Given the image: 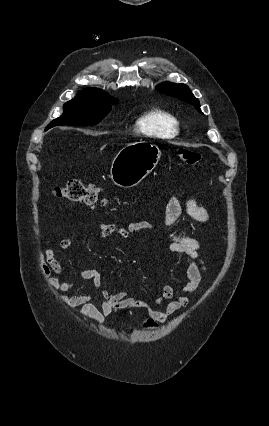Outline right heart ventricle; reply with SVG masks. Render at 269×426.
<instances>
[{
  "mask_svg": "<svg viewBox=\"0 0 269 426\" xmlns=\"http://www.w3.org/2000/svg\"><path fill=\"white\" fill-rule=\"evenodd\" d=\"M138 127L148 136L170 138L177 131V121L171 113L157 109L143 115L138 121Z\"/></svg>",
  "mask_w": 269,
  "mask_h": 426,
  "instance_id": "1",
  "label": "right heart ventricle"
}]
</instances>
